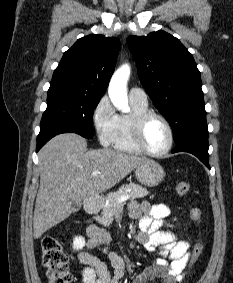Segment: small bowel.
Segmentation results:
<instances>
[{"label":"small bowel","mask_w":233,"mask_h":283,"mask_svg":"<svg viewBox=\"0 0 233 283\" xmlns=\"http://www.w3.org/2000/svg\"><path fill=\"white\" fill-rule=\"evenodd\" d=\"M169 213L170 210L165 204L150 205L141 202L131 205V216L139 219V243L148 252L158 251L153 263L139 273L132 283H147L155 279L161 283H181L185 278L190 259V243L186 240H177L173 232L164 229L168 226L166 218ZM87 232L90 237L87 248L101 247L109 258L114 272L111 274L100 259L83 251L78 254L82 264L83 282L119 283L124 275V261L108 249L109 234L97 226H90Z\"/></svg>","instance_id":"1"}]
</instances>
